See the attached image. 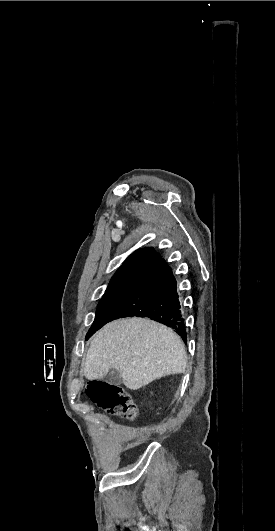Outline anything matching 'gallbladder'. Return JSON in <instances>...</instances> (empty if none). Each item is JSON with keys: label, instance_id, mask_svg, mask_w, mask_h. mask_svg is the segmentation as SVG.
<instances>
[{"label": "gallbladder", "instance_id": "1", "mask_svg": "<svg viewBox=\"0 0 275 531\" xmlns=\"http://www.w3.org/2000/svg\"><path fill=\"white\" fill-rule=\"evenodd\" d=\"M104 381H106L108 385H114V387H117V385H121L122 383L121 373H118L116 369H111L106 377H104Z\"/></svg>", "mask_w": 275, "mask_h": 531}]
</instances>
